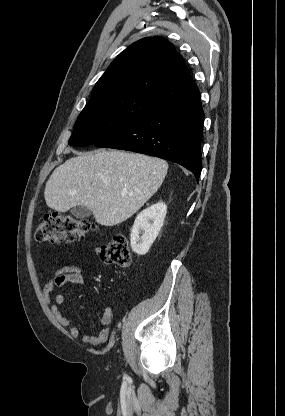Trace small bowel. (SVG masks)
Wrapping results in <instances>:
<instances>
[{"instance_id":"small-bowel-1","label":"small bowel","mask_w":285,"mask_h":416,"mask_svg":"<svg viewBox=\"0 0 285 416\" xmlns=\"http://www.w3.org/2000/svg\"><path fill=\"white\" fill-rule=\"evenodd\" d=\"M73 284L76 286H83L84 268L78 265H65L52 273L43 287V295L45 302L50 305L55 290L62 287L65 284ZM66 296L64 294H58L54 297V304L50 305V311L56 322L67 329L69 335L72 338H79L84 343H89L94 346L101 345L108 340L111 324L113 321V313L110 307L105 308L101 318V330L95 335L80 334L77 327L72 325L70 320L65 317L61 310L62 306L66 302Z\"/></svg>"}]
</instances>
